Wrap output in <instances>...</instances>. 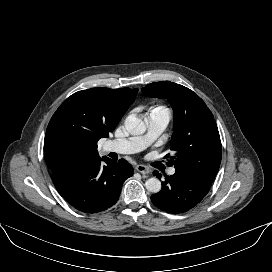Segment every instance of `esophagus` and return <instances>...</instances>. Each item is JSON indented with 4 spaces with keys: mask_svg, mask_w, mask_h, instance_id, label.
I'll return each instance as SVG.
<instances>
[{
    "mask_svg": "<svg viewBox=\"0 0 272 272\" xmlns=\"http://www.w3.org/2000/svg\"><path fill=\"white\" fill-rule=\"evenodd\" d=\"M135 170L141 174H148L150 172V169L145 165H136Z\"/></svg>",
    "mask_w": 272,
    "mask_h": 272,
    "instance_id": "esophagus-1",
    "label": "esophagus"
}]
</instances>
